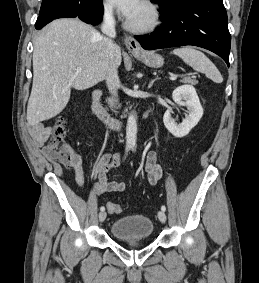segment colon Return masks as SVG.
<instances>
[{
  "label": "colon",
  "instance_id": "obj_1",
  "mask_svg": "<svg viewBox=\"0 0 259 283\" xmlns=\"http://www.w3.org/2000/svg\"><path fill=\"white\" fill-rule=\"evenodd\" d=\"M67 132L68 119L66 116H59L53 125V132L44 148V154L48 159L58 161L64 166H75L81 162V157L68 142ZM106 208L111 214L121 212V206L114 202H108Z\"/></svg>",
  "mask_w": 259,
  "mask_h": 283
}]
</instances>
